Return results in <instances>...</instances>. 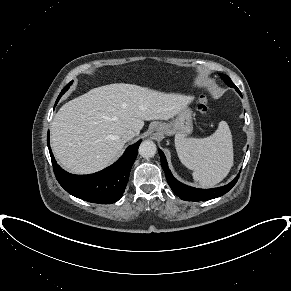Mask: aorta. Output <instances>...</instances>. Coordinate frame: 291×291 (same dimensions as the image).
Instances as JSON below:
<instances>
[{"label": "aorta", "mask_w": 291, "mask_h": 291, "mask_svg": "<svg viewBox=\"0 0 291 291\" xmlns=\"http://www.w3.org/2000/svg\"><path fill=\"white\" fill-rule=\"evenodd\" d=\"M157 148L153 141L145 140L139 146V154L143 158H151L156 154Z\"/></svg>", "instance_id": "obj_1"}]
</instances>
